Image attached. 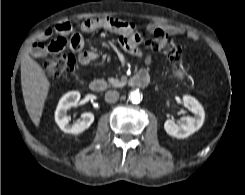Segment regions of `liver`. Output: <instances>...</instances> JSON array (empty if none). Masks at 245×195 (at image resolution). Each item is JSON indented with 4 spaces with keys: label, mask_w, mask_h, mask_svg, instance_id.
I'll list each match as a JSON object with an SVG mask.
<instances>
[{
    "label": "liver",
    "mask_w": 245,
    "mask_h": 195,
    "mask_svg": "<svg viewBox=\"0 0 245 195\" xmlns=\"http://www.w3.org/2000/svg\"><path fill=\"white\" fill-rule=\"evenodd\" d=\"M21 86L26 110L39 126L50 82L42 67L26 53L21 62Z\"/></svg>",
    "instance_id": "1"
}]
</instances>
